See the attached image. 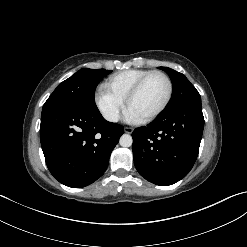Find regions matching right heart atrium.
<instances>
[{
    "label": "right heart atrium",
    "mask_w": 247,
    "mask_h": 247,
    "mask_svg": "<svg viewBox=\"0 0 247 247\" xmlns=\"http://www.w3.org/2000/svg\"><path fill=\"white\" fill-rule=\"evenodd\" d=\"M95 103L103 117L109 122H117L124 110V101L116 97L105 87L95 95Z\"/></svg>",
    "instance_id": "obj_1"
}]
</instances>
